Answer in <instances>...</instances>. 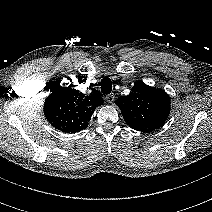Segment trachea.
<instances>
[{"mask_svg":"<svg viewBox=\"0 0 212 212\" xmlns=\"http://www.w3.org/2000/svg\"><path fill=\"white\" fill-rule=\"evenodd\" d=\"M101 92L103 94H110L111 91H112V82H111V79L109 77H104L102 80H101Z\"/></svg>","mask_w":212,"mask_h":212,"instance_id":"obj_1","label":"trachea"}]
</instances>
